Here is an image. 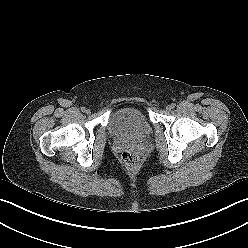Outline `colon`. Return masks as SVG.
<instances>
[{"label": "colon", "mask_w": 248, "mask_h": 248, "mask_svg": "<svg viewBox=\"0 0 248 248\" xmlns=\"http://www.w3.org/2000/svg\"><path fill=\"white\" fill-rule=\"evenodd\" d=\"M121 160L124 166L131 171L136 170L139 166V157L131 150H125L121 155Z\"/></svg>", "instance_id": "1"}]
</instances>
